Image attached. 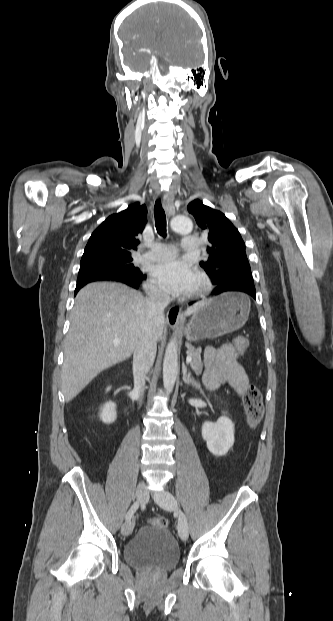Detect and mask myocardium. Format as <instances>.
<instances>
[{"label": "myocardium", "mask_w": 333, "mask_h": 621, "mask_svg": "<svg viewBox=\"0 0 333 621\" xmlns=\"http://www.w3.org/2000/svg\"><path fill=\"white\" fill-rule=\"evenodd\" d=\"M199 286L189 295L191 299L203 298L207 296L212 290V283L207 275L204 273L198 274Z\"/></svg>", "instance_id": "f54148a6"}]
</instances>
